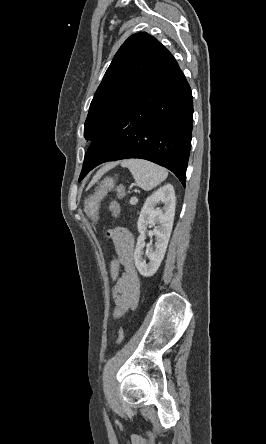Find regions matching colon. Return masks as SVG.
<instances>
[{
  "mask_svg": "<svg viewBox=\"0 0 266 444\" xmlns=\"http://www.w3.org/2000/svg\"><path fill=\"white\" fill-rule=\"evenodd\" d=\"M115 192L119 198L126 195V189L124 186L119 185L116 187ZM110 211L112 215L118 216L120 213V205L118 202L114 201L110 205ZM109 278L112 282L116 283L120 276V262L117 257H113L109 264ZM125 337V330L120 328L117 334L116 342L119 344L123 341Z\"/></svg>",
  "mask_w": 266,
  "mask_h": 444,
  "instance_id": "colon-1",
  "label": "colon"
}]
</instances>
